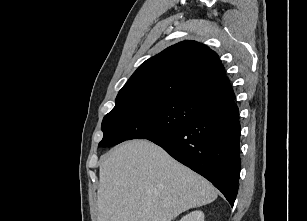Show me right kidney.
<instances>
[{"label":"right kidney","instance_id":"obj_1","mask_svg":"<svg viewBox=\"0 0 307 221\" xmlns=\"http://www.w3.org/2000/svg\"><path fill=\"white\" fill-rule=\"evenodd\" d=\"M179 221H204V213L202 211H194L183 216Z\"/></svg>","mask_w":307,"mask_h":221}]
</instances>
